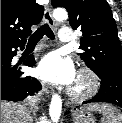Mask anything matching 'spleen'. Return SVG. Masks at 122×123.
Wrapping results in <instances>:
<instances>
[{
	"label": "spleen",
	"mask_w": 122,
	"mask_h": 123,
	"mask_svg": "<svg viewBox=\"0 0 122 123\" xmlns=\"http://www.w3.org/2000/svg\"><path fill=\"white\" fill-rule=\"evenodd\" d=\"M81 110L100 112L103 115L102 123H122L121 111L110 104H90Z\"/></svg>",
	"instance_id": "obj_1"
}]
</instances>
